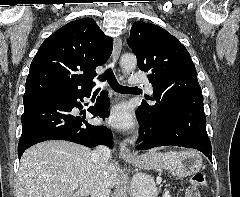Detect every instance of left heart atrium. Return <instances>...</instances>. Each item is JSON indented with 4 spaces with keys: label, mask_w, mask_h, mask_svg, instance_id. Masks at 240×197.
Segmentation results:
<instances>
[{
    "label": "left heart atrium",
    "mask_w": 240,
    "mask_h": 197,
    "mask_svg": "<svg viewBox=\"0 0 240 197\" xmlns=\"http://www.w3.org/2000/svg\"><path fill=\"white\" fill-rule=\"evenodd\" d=\"M107 123L117 129L125 130L131 128L133 119L130 108L125 104L117 105L107 117Z\"/></svg>",
    "instance_id": "left-heart-atrium-1"
}]
</instances>
